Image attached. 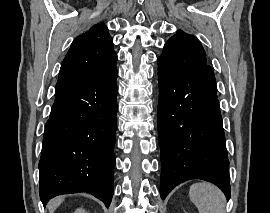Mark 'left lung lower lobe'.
<instances>
[{"instance_id":"left-lung-lower-lobe-1","label":"left lung lower lobe","mask_w":270,"mask_h":213,"mask_svg":"<svg viewBox=\"0 0 270 213\" xmlns=\"http://www.w3.org/2000/svg\"><path fill=\"white\" fill-rule=\"evenodd\" d=\"M161 198L178 184L201 179L230 198L229 161L215 80L199 73L158 71Z\"/></svg>"}]
</instances>
